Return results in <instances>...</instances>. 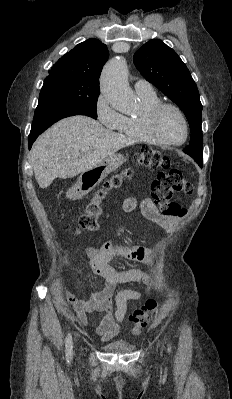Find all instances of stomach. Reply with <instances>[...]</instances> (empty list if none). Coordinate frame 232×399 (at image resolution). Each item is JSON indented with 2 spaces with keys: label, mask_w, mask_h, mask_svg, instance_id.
<instances>
[{
  "label": "stomach",
  "mask_w": 232,
  "mask_h": 399,
  "mask_svg": "<svg viewBox=\"0 0 232 399\" xmlns=\"http://www.w3.org/2000/svg\"><path fill=\"white\" fill-rule=\"evenodd\" d=\"M123 162H125L124 156H121V154H111V156H107L99 166H96V168H91V170H87V172H82L80 176V194H88L95 186H99L100 182H102L110 172H114L119 166H122Z\"/></svg>",
  "instance_id": "1"
}]
</instances>
